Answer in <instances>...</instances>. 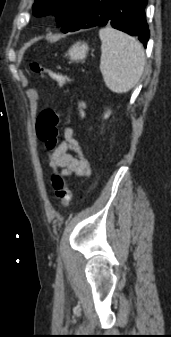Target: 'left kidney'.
Wrapping results in <instances>:
<instances>
[{
	"mask_svg": "<svg viewBox=\"0 0 171 337\" xmlns=\"http://www.w3.org/2000/svg\"><path fill=\"white\" fill-rule=\"evenodd\" d=\"M109 115H110V112H107V113L105 114L104 118H108Z\"/></svg>",
	"mask_w": 171,
	"mask_h": 337,
	"instance_id": "left-kidney-1",
	"label": "left kidney"
}]
</instances>
